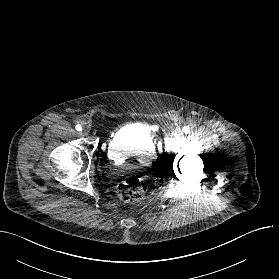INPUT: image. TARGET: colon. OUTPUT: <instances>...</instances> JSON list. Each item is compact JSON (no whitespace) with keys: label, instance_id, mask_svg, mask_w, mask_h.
I'll use <instances>...</instances> for the list:
<instances>
[{"label":"colon","instance_id":"1","mask_svg":"<svg viewBox=\"0 0 279 279\" xmlns=\"http://www.w3.org/2000/svg\"><path fill=\"white\" fill-rule=\"evenodd\" d=\"M147 191L146 183L138 177H129L118 186L116 193L124 202H136L141 200Z\"/></svg>","mask_w":279,"mask_h":279}]
</instances>
